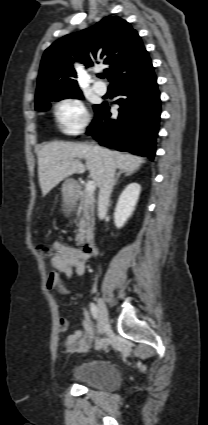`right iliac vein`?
Wrapping results in <instances>:
<instances>
[{
	"label": "right iliac vein",
	"instance_id": "1",
	"mask_svg": "<svg viewBox=\"0 0 208 425\" xmlns=\"http://www.w3.org/2000/svg\"><path fill=\"white\" fill-rule=\"evenodd\" d=\"M98 309V332L100 334L106 332L109 328L108 311L103 299L99 298L97 302Z\"/></svg>",
	"mask_w": 208,
	"mask_h": 425
}]
</instances>
